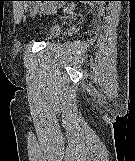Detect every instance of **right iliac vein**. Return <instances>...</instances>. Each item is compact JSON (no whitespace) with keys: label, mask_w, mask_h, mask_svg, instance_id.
<instances>
[{"label":"right iliac vein","mask_w":135,"mask_h":161,"mask_svg":"<svg viewBox=\"0 0 135 161\" xmlns=\"http://www.w3.org/2000/svg\"><path fill=\"white\" fill-rule=\"evenodd\" d=\"M37 12H38V8L36 7L32 12V16H35L37 14Z\"/></svg>","instance_id":"right-iliac-vein-1"}]
</instances>
